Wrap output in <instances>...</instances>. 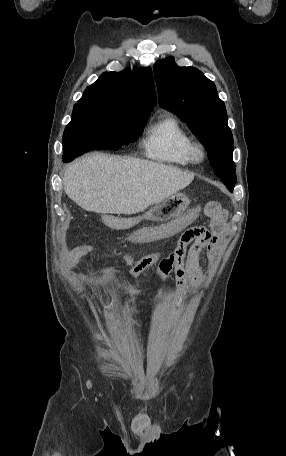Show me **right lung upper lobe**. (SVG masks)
Listing matches in <instances>:
<instances>
[{"instance_id": "1", "label": "right lung upper lobe", "mask_w": 286, "mask_h": 456, "mask_svg": "<svg viewBox=\"0 0 286 456\" xmlns=\"http://www.w3.org/2000/svg\"><path fill=\"white\" fill-rule=\"evenodd\" d=\"M156 104L150 68L105 72L87 87L77 105L106 107L131 114L149 115Z\"/></svg>"}]
</instances>
